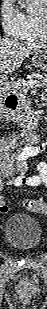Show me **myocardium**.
<instances>
[{
	"instance_id": "obj_1",
	"label": "myocardium",
	"mask_w": 47,
	"mask_h": 309,
	"mask_svg": "<svg viewBox=\"0 0 47 309\" xmlns=\"http://www.w3.org/2000/svg\"><path fill=\"white\" fill-rule=\"evenodd\" d=\"M40 19H41L42 26H43V32L46 36V34H47V15H46V12L41 13Z\"/></svg>"
}]
</instances>
